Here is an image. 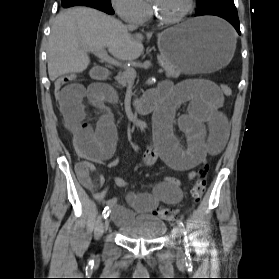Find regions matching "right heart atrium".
<instances>
[{
	"label": "right heart atrium",
	"mask_w": 279,
	"mask_h": 279,
	"mask_svg": "<svg viewBox=\"0 0 279 279\" xmlns=\"http://www.w3.org/2000/svg\"><path fill=\"white\" fill-rule=\"evenodd\" d=\"M117 15L130 23L141 24L150 14V7L143 0H111Z\"/></svg>",
	"instance_id": "1"
}]
</instances>
